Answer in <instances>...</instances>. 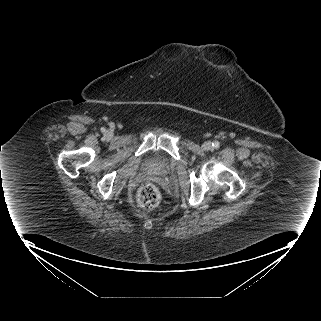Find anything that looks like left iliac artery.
I'll list each match as a JSON object with an SVG mask.
<instances>
[{
  "label": "left iliac artery",
  "instance_id": "obj_1",
  "mask_svg": "<svg viewBox=\"0 0 321 321\" xmlns=\"http://www.w3.org/2000/svg\"><path fill=\"white\" fill-rule=\"evenodd\" d=\"M212 146H213L214 148H218V147H219V142H218V141L213 142V143H212Z\"/></svg>",
  "mask_w": 321,
  "mask_h": 321
}]
</instances>
